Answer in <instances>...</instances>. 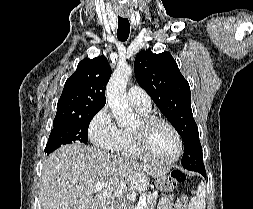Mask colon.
Listing matches in <instances>:
<instances>
[{
  "label": "colon",
  "instance_id": "obj_1",
  "mask_svg": "<svg viewBox=\"0 0 253 209\" xmlns=\"http://www.w3.org/2000/svg\"><path fill=\"white\" fill-rule=\"evenodd\" d=\"M185 176L182 173H173L170 177H168L167 187H174L178 183L182 182L184 180ZM188 204V198L185 194H182L177 203H176V209H187Z\"/></svg>",
  "mask_w": 253,
  "mask_h": 209
}]
</instances>
